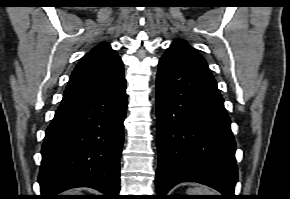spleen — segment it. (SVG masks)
Wrapping results in <instances>:
<instances>
[{"instance_id":"1","label":"spleen","mask_w":290,"mask_h":199,"mask_svg":"<svg viewBox=\"0 0 290 199\" xmlns=\"http://www.w3.org/2000/svg\"><path fill=\"white\" fill-rule=\"evenodd\" d=\"M188 195H215L214 191L207 187H196L187 190Z\"/></svg>"}]
</instances>
